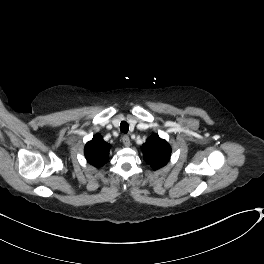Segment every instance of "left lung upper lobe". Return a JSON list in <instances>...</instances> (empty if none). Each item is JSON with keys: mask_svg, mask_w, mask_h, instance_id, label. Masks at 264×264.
I'll use <instances>...</instances> for the list:
<instances>
[{"mask_svg": "<svg viewBox=\"0 0 264 264\" xmlns=\"http://www.w3.org/2000/svg\"><path fill=\"white\" fill-rule=\"evenodd\" d=\"M142 150L144 160L150 164L154 170L166 165L171 155V147L169 144L165 140L160 139L156 134L147 139L146 143L142 146Z\"/></svg>", "mask_w": 264, "mask_h": 264, "instance_id": "1", "label": "left lung upper lobe"}]
</instances>
